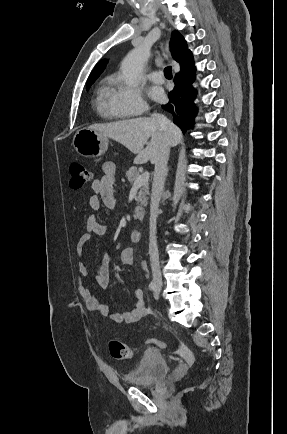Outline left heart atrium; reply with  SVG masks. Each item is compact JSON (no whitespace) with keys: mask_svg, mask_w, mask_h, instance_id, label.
Returning a JSON list of instances; mask_svg holds the SVG:
<instances>
[{"mask_svg":"<svg viewBox=\"0 0 287 434\" xmlns=\"http://www.w3.org/2000/svg\"><path fill=\"white\" fill-rule=\"evenodd\" d=\"M150 96L154 99V100H160L163 97V91L161 88L159 87H153L150 90Z\"/></svg>","mask_w":287,"mask_h":434,"instance_id":"left-heart-atrium-1","label":"left heart atrium"}]
</instances>
